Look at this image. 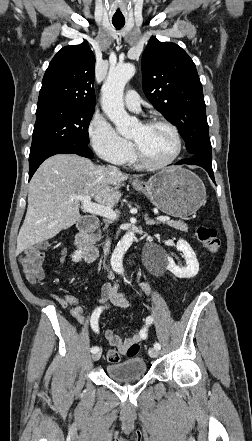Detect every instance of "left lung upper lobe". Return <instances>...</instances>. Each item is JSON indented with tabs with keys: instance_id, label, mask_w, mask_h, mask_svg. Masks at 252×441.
Masks as SVG:
<instances>
[{
	"instance_id": "1",
	"label": "left lung upper lobe",
	"mask_w": 252,
	"mask_h": 441,
	"mask_svg": "<svg viewBox=\"0 0 252 441\" xmlns=\"http://www.w3.org/2000/svg\"><path fill=\"white\" fill-rule=\"evenodd\" d=\"M141 67L147 99L177 126L188 152L212 156L202 84L192 59L177 44L152 37Z\"/></svg>"
}]
</instances>
